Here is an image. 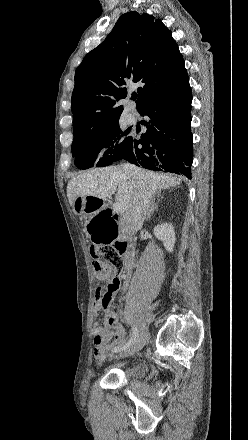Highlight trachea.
I'll return each mask as SVG.
<instances>
[{"label": "trachea", "instance_id": "trachea-1", "mask_svg": "<svg viewBox=\"0 0 248 440\" xmlns=\"http://www.w3.org/2000/svg\"><path fill=\"white\" fill-rule=\"evenodd\" d=\"M136 98H137V94H134V95L132 96V99L135 100Z\"/></svg>", "mask_w": 248, "mask_h": 440}]
</instances>
